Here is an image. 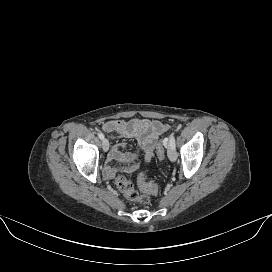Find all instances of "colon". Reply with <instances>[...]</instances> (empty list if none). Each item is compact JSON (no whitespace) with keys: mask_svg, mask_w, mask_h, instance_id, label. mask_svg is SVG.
<instances>
[{"mask_svg":"<svg viewBox=\"0 0 272 272\" xmlns=\"http://www.w3.org/2000/svg\"><path fill=\"white\" fill-rule=\"evenodd\" d=\"M165 142H161L156 148V155L159 160H163L165 157ZM137 184L142 193H138L131 181L124 175H119L115 179V185L122 195L128 201L138 202L141 204H147L150 202L151 194L157 192V185L154 183L147 182L144 175L140 173L137 177Z\"/></svg>","mask_w":272,"mask_h":272,"instance_id":"obj_1","label":"colon"}]
</instances>
